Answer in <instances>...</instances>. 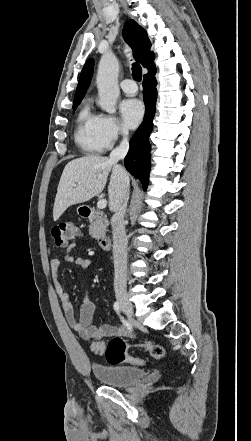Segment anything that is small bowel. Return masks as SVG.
Returning <instances> with one entry per match:
<instances>
[{
    "mask_svg": "<svg viewBox=\"0 0 251 441\" xmlns=\"http://www.w3.org/2000/svg\"><path fill=\"white\" fill-rule=\"evenodd\" d=\"M63 261L75 263L82 269H88L92 265L90 259L81 256L75 257L71 251L64 256ZM61 263L62 261L58 258L52 259L50 261V272L54 290L61 302V309L68 325L76 331L81 338L88 341H98L102 338L113 336L127 337L129 332L125 326L105 324L97 327L93 324L95 306L87 296H83L79 317H75L73 306L70 302V294L63 288L59 281L58 273Z\"/></svg>",
    "mask_w": 251,
    "mask_h": 441,
    "instance_id": "1",
    "label": "small bowel"
}]
</instances>
